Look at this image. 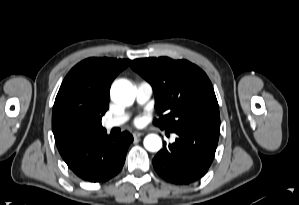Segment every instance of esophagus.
Wrapping results in <instances>:
<instances>
[{"instance_id":"obj_1","label":"esophagus","mask_w":299,"mask_h":205,"mask_svg":"<svg viewBox=\"0 0 299 205\" xmlns=\"http://www.w3.org/2000/svg\"><path fill=\"white\" fill-rule=\"evenodd\" d=\"M143 135V133H141V132H134L133 133V137L134 138H139V137H141Z\"/></svg>"}]
</instances>
